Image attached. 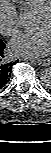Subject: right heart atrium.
Segmentation results:
<instances>
[{"label": "right heart atrium", "mask_w": 51, "mask_h": 153, "mask_svg": "<svg viewBox=\"0 0 51 153\" xmlns=\"http://www.w3.org/2000/svg\"><path fill=\"white\" fill-rule=\"evenodd\" d=\"M20 29L19 13L10 0H0V33L6 37L16 35Z\"/></svg>", "instance_id": "1"}]
</instances>
